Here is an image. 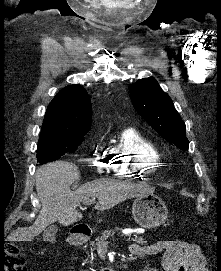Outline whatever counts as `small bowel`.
<instances>
[{
    "label": "small bowel",
    "instance_id": "obj_1",
    "mask_svg": "<svg viewBox=\"0 0 221 271\" xmlns=\"http://www.w3.org/2000/svg\"><path fill=\"white\" fill-rule=\"evenodd\" d=\"M128 251L137 257L163 252L162 266L164 271H208L203 252L196 244L163 239L144 246L132 243L129 245ZM144 271H157V269L146 267Z\"/></svg>",
    "mask_w": 221,
    "mask_h": 271
}]
</instances>
